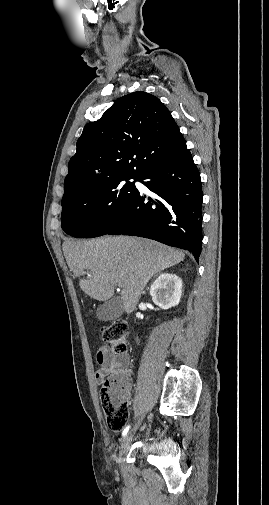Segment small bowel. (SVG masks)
<instances>
[{
  "mask_svg": "<svg viewBox=\"0 0 269 505\" xmlns=\"http://www.w3.org/2000/svg\"><path fill=\"white\" fill-rule=\"evenodd\" d=\"M95 360L99 365L96 379L103 383L108 377H122L127 381V393L130 384V357L128 354L117 355L108 348H99L95 354Z\"/></svg>",
  "mask_w": 269,
  "mask_h": 505,
  "instance_id": "small-bowel-1",
  "label": "small bowel"
}]
</instances>
